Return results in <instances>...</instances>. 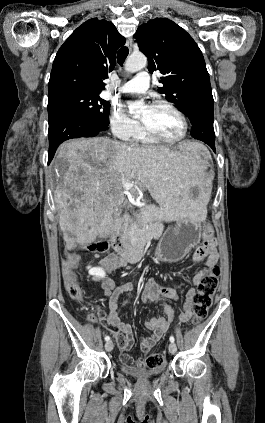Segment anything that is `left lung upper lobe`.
Wrapping results in <instances>:
<instances>
[{"instance_id": "5c2ea615", "label": "left lung upper lobe", "mask_w": 265, "mask_h": 423, "mask_svg": "<svg viewBox=\"0 0 265 423\" xmlns=\"http://www.w3.org/2000/svg\"><path fill=\"white\" fill-rule=\"evenodd\" d=\"M148 58L150 73L163 75L159 93L187 116L193 101L211 92L210 78L201 50L192 37L167 18H156L138 27L133 36Z\"/></svg>"}]
</instances>
